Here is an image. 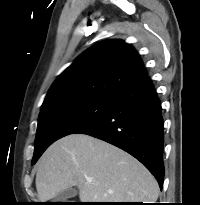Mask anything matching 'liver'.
I'll list each match as a JSON object with an SVG mask.
<instances>
[{
  "mask_svg": "<svg viewBox=\"0 0 200 205\" xmlns=\"http://www.w3.org/2000/svg\"><path fill=\"white\" fill-rule=\"evenodd\" d=\"M35 182L41 202L72 186L78 187L81 202L154 203L159 195L157 181L138 160L84 134L65 136L49 146L37 164Z\"/></svg>",
  "mask_w": 200,
  "mask_h": 205,
  "instance_id": "obj_1",
  "label": "liver"
}]
</instances>
